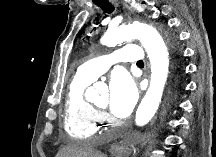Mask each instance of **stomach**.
<instances>
[{
	"instance_id": "1",
	"label": "stomach",
	"mask_w": 216,
	"mask_h": 157,
	"mask_svg": "<svg viewBox=\"0 0 216 157\" xmlns=\"http://www.w3.org/2000/svg\"><path fill=\"white\" fill-rule=\"evenodd\" d=\"M133 149H134L133 146L130 145L128 148H126V150L124 151V153H129Z\"/></svg>"
}]
</instances>
